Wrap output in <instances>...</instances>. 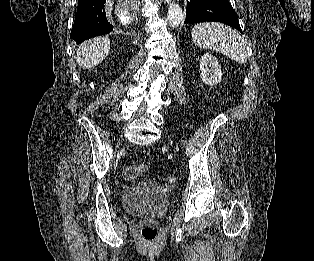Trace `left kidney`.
Returning a JSON list of instances; mask_svg holds the SVG:
<instances>
[{
    "label": "left kidney",
    "instance_id": "1",
    "mask_svg": "<svg viewBox=\"0 0 314 261\" xmlns=\"http://www.w3.org/2000/svg\"><path fill=\"white\" fill-rule=\"evenodd\" d=\"M201 79L203 83L213 86L222 79V71L216 58L210 53H205L200 61Z\"/></svg>",
    "mask_w": 314,
    "mask_h": 261
}]
</instances>
